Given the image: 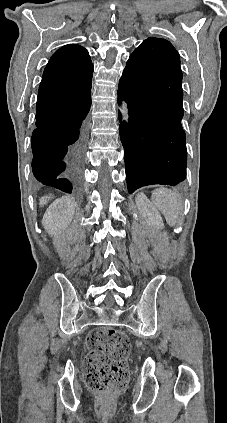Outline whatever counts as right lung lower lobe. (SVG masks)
I'll return each mask as SVG.
<instances>
[{
    "label": "right lung lower lobe",
    "instance_id": "1",
    "mask_svg": "<svg viewBox=\"0 0 227 423\" xmlns=\"http://www.w3.org/2000/svg\"><path fill=\"white\" fill-rule=\"evenodd\" d=\"M91 94L65 100L38 97L32 170L39 185L71 193L81 181Z\"/></svg>",
    "mask_w": 227,
    "mask_h": 423
}]
</instances>
